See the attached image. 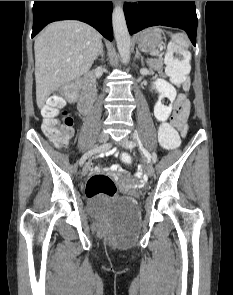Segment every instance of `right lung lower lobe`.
<instances>
[{
  "instance_id": "1",
  "label": "right lung lower lobe",
  "mask_w": 233,
  "mask_h": 295,
  "mask_svg": "<svg viewBox=\"0 0 233 295\" xmlns=\"http://www.w3.org/2000/svg\"><path fill=\"white\" fill-rule=\"evenodd\" d=\"M112 10V1H35L32 37L50 22L73 19L90 24L112 40Z\"/></svg>"
}]
</instances>
